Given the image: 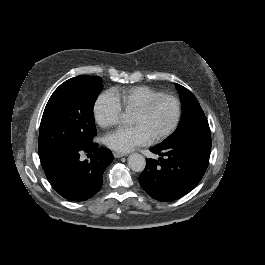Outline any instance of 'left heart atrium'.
Here are the masks:
<instances>
[{
	"mask_svg": "<svg viewBox=\"0 0 265 265\" xmlns=\"http://www.w3.org/2000/svg\"><path fill=\"white\" fill-rule=\"evenodd\" d=\"M152 137L143 125L133 127L121 126L108 133L105 137L106 145L115 151L129 152L136 147L147 144Z\"/></svg>",
	"mask_w": 265,
	"mask_h": 265,
	"instance_id": "1",
	"label": "left heart atrium"
}]
</instances>
